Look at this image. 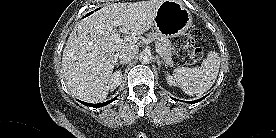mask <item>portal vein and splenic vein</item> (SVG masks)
<instances>
[{"mask_svg": "<svg viewBox=\"0 0 276 138\" xmlns=\"http://www.w3.org/2000/svg\"><path fill=\"white\" fill-rule=\"evenodd\" d=\"M115 24L120 25V22H119V21H116ZM112 39L115 40V41L120 40V34H119V33H114V34L112 35ZM155 48H156V52H157L158 54H161L160 48H158L157 46H155Z\"/></svg>", "mask_w": 276, "mask_h": 138, "instance_id": "18ae733b", "label": "portal vein and splenic vein"}]
</instances>
